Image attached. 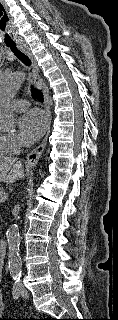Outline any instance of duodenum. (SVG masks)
Returning <instances> with one entry per match:
<instances>
[{
  "label": "duodenum",
  "mask_w": 118,
  "mask_h": 320,
  "mask_svg": "<svg viewBox=\"0 0 118 320\" xmlns=\"http://www.w3.org/2000/svg\"><path fill=\"white\" fill-rule=\"evenodd\" d=\"M7 242L5 240H0V264H4V259L6 257Z\"/></svg>",
  "instance_id": "obj_1"
}]
</instances>
